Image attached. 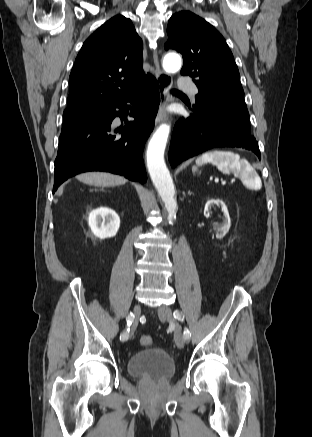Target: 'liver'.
Segmentation results:
<instances>
[{"label":"liver","instance_id":"obj_1","mask_svg":"<svg viewBox=\"0 0 312 437\" xmlns=\"http://www.w3.org/2000/svg\"><path fill=\"white\" fill-rule=\"evenodd\" d=\"M77 179L85 184L97 187L117 186L127 182L122 176L105 172H88L77 176Z\"/></svg>","mask_w":312,"mask_h":437}]
</instances>
